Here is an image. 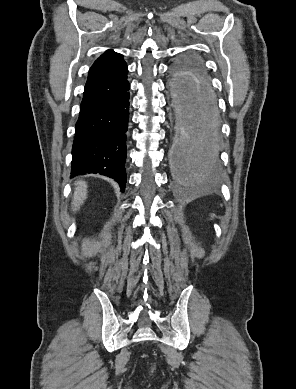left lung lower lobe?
Listing matches in <instances>:
<instances>
[{"label":"left lung lower lobe","instance_id":"1","mask_svg":"<svg viewBox=\"0 0 296 389\" xmlns=\"http://www.w3.org/2000/svg\"><path fill=\"white\" fill-rule=\"evenodd\" d=\"M193 112V125L186 134L178 163L186 177L198 178L209 174L218 155L216 101L208 78L196 77V87L181 90ZM206 125L208 128L206 129Z\"/></svg>","mask_w":296,"mask_h":389}]
</instances>
